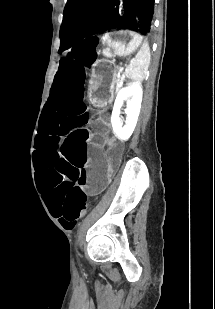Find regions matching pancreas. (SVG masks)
<instances>
[{"instance_id": "obj_1", "label": "pancreas", "mask_w": 215, "mask_h": 309, "mask_svg": "<svg viewBox=\"0 0 215 309\" xmlns=\"http://www.w3.org/2000/svg\"><path fill=\"white\" fill-rule=\"evenodd\" d=\"M115 82H116V84H117L116 90H118V88H119V86H120V78H116Z\"/></svg>"}]
</instances>
